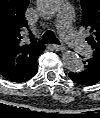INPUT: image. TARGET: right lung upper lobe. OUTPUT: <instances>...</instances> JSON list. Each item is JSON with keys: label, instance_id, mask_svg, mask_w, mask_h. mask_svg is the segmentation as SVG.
<instances>
[{"label": "right lung upper lobe", "instance_id": "obj_1", "mask_svg": "<svg viewBox=\"0 0 100 118\" xmlns=\"http://www.w3.org/2000/svg\"><path fill=\"white\" fill-rule=\"evenodd\" d=\"M29 0H0V73L19 72L40 44L21 42V31L27 27L25 10Z\"/></svg>", "mask_w": 100, "mask_h": 118}]
</instances>
